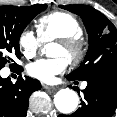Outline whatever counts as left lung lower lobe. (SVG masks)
<instances>
[{
  "mask_svg": "<svg viewBox=\"0 0 117 117\" xmlns=\"http://www.w3.org/2000/svg\"><path fill=\"white\" fill-rule=\"evenodd\" d=\"M68 80H73L66 76ZM82 106L72 115L58 117H111L117 108V70L96 74L86 80Z\"/></svg>",
  "mask_w": 117,
  "mask_h": 117,
  "instance_id": "1",
  "label": "left lung lower lobe"
}]
</instances>
